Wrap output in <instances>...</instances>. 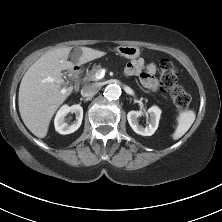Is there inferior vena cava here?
Wrapping results in <instances>:
<instances>
[{
  "instance_id": "602c4592",
  "label": "inferior vena cava",
  "mask_w": 222,
  "mask_h": 222,
  "mask_svg": "<svg viewBox=\"0 0 222 222\" xmlns=\"http://www.w3.org/2000/svg\"><path fill=\"white\" fill-rule=\"evenodd\" d=\"M99 89L97 84L87 85L81 89V95L83 97H92L98 93Z\"/></svg>"
}]
</instances>
